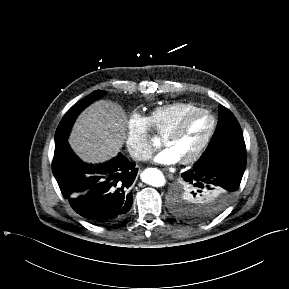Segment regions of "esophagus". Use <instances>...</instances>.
<instances>
[{"label":"esophagus","instance_id":"obj_1","mask_svg":"<svg viewBox=\"0 0 289 289\" xmlns=\"http://www.w3.org/2000/svg\"><path fill=\"white\" fill-rule=\"evenodd\" d=\"M166 176H167L169 179H173V175L170 174V173H166Z\"/></svg>","mask_w":289,"mask_h":289}]
</instances>
